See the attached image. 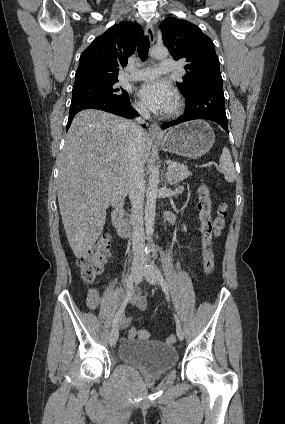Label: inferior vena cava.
<instances>
[{"mask_svg": "<svg viewBox=\"0 0 285 424\" xmlns=\"http://www.w3.org/2000/svg\"><path fill=\"white\" fill-rule=\"evenodd\" d=\"M140 117L130 124L129 148V198L131 201L132 244L134 259H145L144 246L145 234L143 228V201H144V176L140 157V145L144 130L141 126L145 120L150 119V114L143 107H136Z\"/></svg>", "mask_w": 285, "mask_h": 424, "instance_id": "obj_1", "label": "inferior vena cava"}]
</instances>
